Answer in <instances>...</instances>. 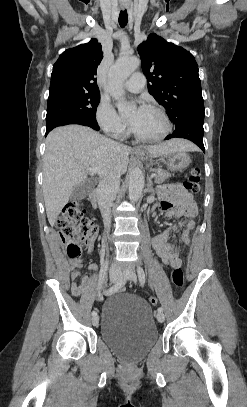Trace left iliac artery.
<instances>
[{"instance_id":"obj_1","label":"left iliac artery","mask_w":247,"mask_h":407,"mask_svg":"<svg viewBox=\"0 0 247 407\" xmlns=\"http://www.w3.org/2000/svg\"><path fill=\"white\" fill-rule=\"evenodd\" d=\"M137 273H138L140 285H141V286H144L145 281H146V278H145V272H144L143 268L140 267V266H138V268H137ZM157 311L160 312V313H163L162 307H159V308L157 309Z\"/></svg>"}]
</instances>
